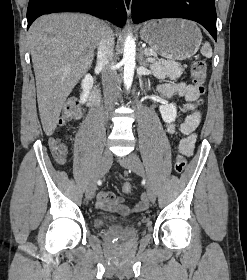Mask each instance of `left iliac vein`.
<instances>
[{"mask_svg":"<svg viewBox=\"0 0 247 280\" xmlns=\"http://www.w3.org/2000/svg\"><path fill=\"white\" fill-rule=\"evenodd\" d=\"M118 161L123 167H125L137 174L145 176L141 161L136 154L131 153V154L127 155L126 157L120 158ZM146 187H147V195H148L149 200L154 202L156 200L155 186L153 185V183L150 180H147Z\"/></svg>","mask_w":247,"mask_h":280,"instance_id":"left-iliac-vein-1","label":"left iliac vein"}]
</instances>
